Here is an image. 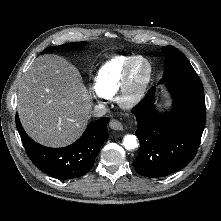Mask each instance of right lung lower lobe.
<instances>
[{
	"mask_svg": "<svg viewBox=\"0 0 221 221\" xmlns=\"http://www.w3.org/2000/svg\"><path fill=\"white\" fill-rule=\"evenodd\" d=\"M108 122L107 117L92 121L73 144L49 148L36 143L26 134L16 114V126L31 161L46 174L63 180L81 177L91 169L100 147L108 138Z\"/></svg>",
	"mask_w": 221,
	"mask_h": 221,
	"instance_id": "obj_1",
	"label": "right lung lower lobe"
}]
</instances>
